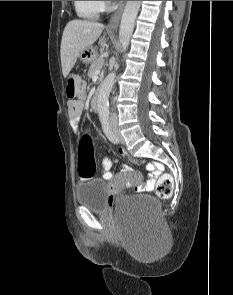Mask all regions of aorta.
<instances>
[{"label": "aorta", "instance_id": "aorta-1", "mask_svg": "<svg viewBox=\"0 0 233 295\" xmlns=\"http://www.w3.org/2000/svg\"><path fill=\"white\" fill-rule=\"evenodd\" d=\"M141 1H127L122 18L120 23V29H119V39L122 47V51H126L130 38L132 36L135 20L140 8ZM115 73H110L99 92L98 100H97V106L98 111L101 115H108L109 114V93L111 91V88L115 82Z\"/></svg>", "mask_w": 233, "mask_h": 295}]
</instances>
